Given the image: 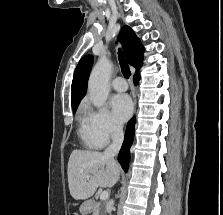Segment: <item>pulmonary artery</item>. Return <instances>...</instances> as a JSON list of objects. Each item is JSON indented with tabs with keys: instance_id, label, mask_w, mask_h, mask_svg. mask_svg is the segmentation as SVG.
I'll return each instance as SVG.
<instances>
[{
	"instance_id": "1",
	"label": "pulmonary artery",
	"mask_w": 223,
	"mask_h": 215,
	"mask_svg": "<svg viewBox=\"0 0 223 215\" xmlns=\"http://www.w3.org/2000/svg\"><path fill=\"white\" fill-rule=\"evenodd\" d=\"M111 85L117 91H125L128 88L126 80L122 77H116Z\"/></svg>"
}]
</instances>
